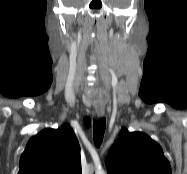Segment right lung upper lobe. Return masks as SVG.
Instances as JSON below:
<instances>
[{
  "instance_id": "1",
  "label": "right lung upper lobe",
  "mask_w": 187,
  "mask_h": 174,
  "mask_svg": "<svg viewBox=\"0 0 187 174\" xmlns=\"http://www.w3.org/2000/svg\"><path fill=\"white\" fill-rule=\"evenodd\" d=\"M18 174H81L80 146L69 124L31 138Z\"/></svg>"
}]
</instances>
